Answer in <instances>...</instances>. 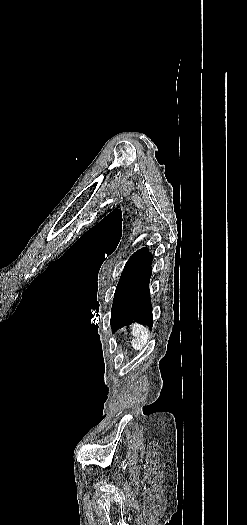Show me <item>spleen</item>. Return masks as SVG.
<instances>
[{"label": "spleen", "instance_id": "1", "mask_svg": "<svg viewBox=\"0 0 247 525\" xmlns=\"http://www.w3.org/2000/svg\"><path fill=\"white\" fill-rule=\"evenodd\" d=\"M132 335L134 337L132 341V347L135 351H142L149 339V331L144 325L134 323L132 327Z\"/></svg>", "mask_w": 247, "mask_h": 525}]
</instances>
